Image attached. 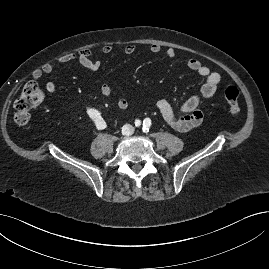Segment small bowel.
<instances>
[{"label":"small bowel","mask_w":269,"mask_h":269,"mask_svg":"<svg viewBox=\"0 0 269 269\" xmlns=\"http://www.w3.org/2000/svg\"><path fill=\"white\" fill-rule=\"evenodd\" d=\"M136 47L134 45H127L124 48L125 55H131L135 52ZM153 54H158L162 51V47L158 44H152L149 48ZM113 51L111 45H104L101 48L103 55H108ZM93 52L90 49H81L76 53H67L60 56L57 64H69L78 62L84 68L90 71H97L101 67V61L93 58ZM165 55L173 59L176 57V52L173 48H168L165 51ZM186 65L188 69L195 72L202 79V85L197 94L188 98L179 108H174L166 100H159L156 103V107L167 124L176 131L185 133L197 128L203 121L204 113L200 109L202 99L213 97L219 88L222 77L219 73L212 71L208 66L203 65L199 60L190 58L187 60ZM55 69L54 63H46L42 67L36 69L32 78L34 81H39L43 75L53 72ZM45 89L47 93L53 94L57 90V85L50 81L46 84ZM99 89L101 93L106 97L113 96V89L107 83H100ZM117 106L120 110L126 111L129 108V102L127 99L120 97L117 99Z\"/></svg>","instance_id":"1"}]
</instances>
